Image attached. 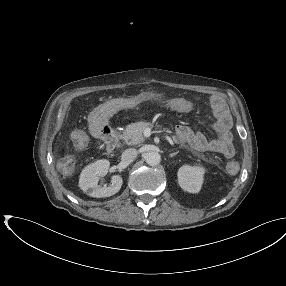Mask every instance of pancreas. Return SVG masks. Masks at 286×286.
<instances>
[{
	"instance_id": "obj_1",
	"label": "pancreas",
	"mask_w": 286,
	"mask_h": 286,
	"mask_svg": "<svg viewBox=\"0 0 286 286\" xmlns=\"http://www.w3.org/2000/svg\"><path fill=\"white\" fill-rule=\"evenodd\" d=\"M153 126L150 122H136L128 125L122 134V138L127 144L136 145L144 141L143 132L146 128H151ZM157 128L161 126L157 123L155 124ZM167 133H171V130L165 129ZM175 143H178V138L172 136Z\"/></svg>"
}]
</instances>
